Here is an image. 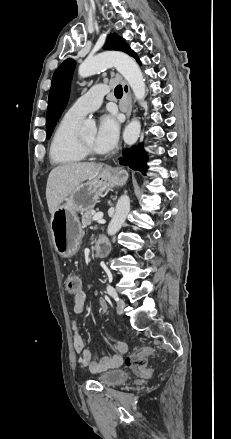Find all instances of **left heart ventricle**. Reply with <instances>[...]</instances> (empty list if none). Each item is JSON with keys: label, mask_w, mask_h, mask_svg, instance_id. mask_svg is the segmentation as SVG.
I'll use <instances>...</instances> for the list:
<instances>
[{"label": "left heart ventricle", "mask_w": 231, "mask_h": 439, "mask_svg": "<svg viewBox=\"0 0 231 439\" xmlns=\"http://www.w3.org/2000/svg\"><path fill=\"white\" fill-rule=\"evenodd\" d=\"M81 136H82L83 140H84L89 146H91L93 149H95L96 151H98L97 148H96V146H95V136H96L95 131L84 132V133L81 134ZM98 152H99V151H98Z\"/></svg>", "instance_id": "1"}]
</instances>
